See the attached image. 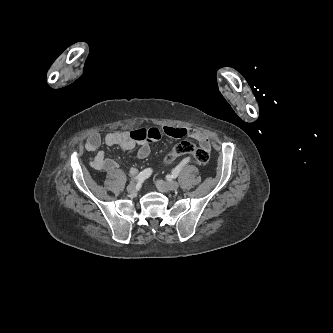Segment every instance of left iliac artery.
Segmentation results:
<instances>
[{
	"mask_svg": "<svg viewBox=\"0 0 333 333\" xmlns=\"http://www.w3.org/2000/svg\"><path fill=\"white\" fill-rule=\"evenodd\" d=\"M182 167H183V164H181V163L179 165H177L174 168V170L172 171L171 177L176 178L179 175L180 171L182 170Z\"/></svg>",
	"mask_w": 333,
	"mask_h": 333,
	"instance_id": "44dca946",
	"label": "left iliac artery"
}]
</instances>
